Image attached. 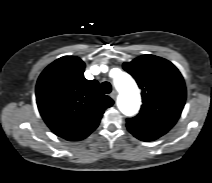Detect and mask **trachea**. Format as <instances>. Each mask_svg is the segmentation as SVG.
Listing matches in <instances>:
<instances>
[{
    "label": "trachea",
    "mask_w": 212,
    "mask_h": 183,
    "mask_svg": "<svg viewBox=\"0 0 212 183\" xmlns=\"http://www.w3.org/2000/svg\"><path fill=\"white\" fill-rule=\"evenodd\" d=\"M101 89L105 94H109L112 91V86L109 82H103L101 84Z\"/></svg>",
    "instance_id": "1"
}]
</instances>
